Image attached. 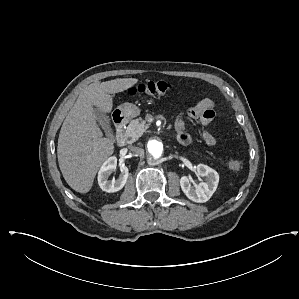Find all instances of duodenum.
I'll return each instance as SVG.
<instances>
[{
	"mask_svg": "<svg viewBox=\"0 0 299 299\" xmlns=\"http://www.w3.org/2000/svg\"><path fill=\"white\" fill-rule=\"evenodd\" d=\"M112 119L117 131V144L119 146L125 145V137L123 135V130L126 125V117L120 111H114L112 114Z\"/></svg>",
	"mask_w": 299,
	"mask_h": 299,
	"instance_id": "duodenum-1",
	"label": "duodenum"
}]
</instances>
